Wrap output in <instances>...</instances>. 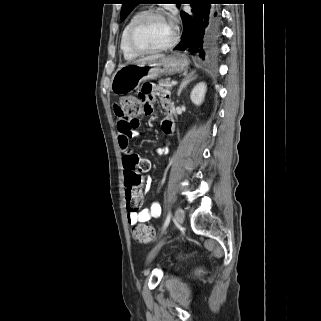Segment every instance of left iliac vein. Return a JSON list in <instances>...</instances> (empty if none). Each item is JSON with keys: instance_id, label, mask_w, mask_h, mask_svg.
Wrapping results in <instances>:
<instances>
[{"instance_id": "obj_1", "label": "left iliac vein", "mask_w": 321, "mask_h": 321, "mask_svg": "<svg viewBox=\"0 0 321 321\" xmlns=\"http://www.w3.org/2000/svg\"><path fill=\"white\" fill-rule=\"evenodd\" d=\"M175 221L177 225H181L184 221V212L180 207H177L175 210ZM163 242L159 243L149 254L148 261H150L155 254L160 250L162 247Z\"/></svg>"}]
</instances>
